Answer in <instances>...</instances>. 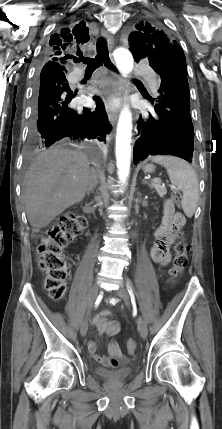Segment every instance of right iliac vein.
<instances>
[{
    "instance_id": "obj_1",
    "label": "right iliac vein",
    "mask_w": 222,
    "mask_h": 429,
    "mask_svg": "<svg viewBox=\"0 0 222 429\" xmlns=\"http://www.w3.org/2000/svg\"><path fill=\"white\" fill-rule=\"evenodd\" d=\"M99 293V286L98 284H94L89 292L88 295V300H87V312H86V317L84 319V321L81 324V328H80V334L84 337L87 334L88 331V317L90 314V311L92 309V306L95 302V300L97 299Z\"/></svg>"
}]
</instances>
